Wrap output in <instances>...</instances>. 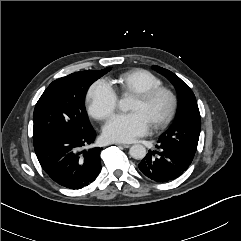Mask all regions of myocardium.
Instances as JSON below:
<instances>
[{
  "mask_svg": "<svg viewBox=\"0 0 241 241\" xmlns=\"http://www.w3.org/2000/svg\"><path fill=\"white\" fill-rule=\"evenodd\" d=\"M161 95H164L168 98L169 107L166 115L159 121H156L152 124L153 128L155 129H163L167 127L174 119L178 105L175 93L171 89L161 85L135 94L136 98H139L145 103H151Z\"/></svg>",
  "mask_w": 241,
  "mask_h": 241,
  "instance_id": "obj_1",
  "label": "myocardium"
}]
</instances>
